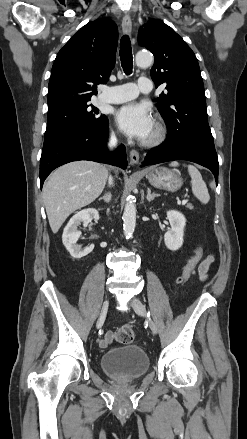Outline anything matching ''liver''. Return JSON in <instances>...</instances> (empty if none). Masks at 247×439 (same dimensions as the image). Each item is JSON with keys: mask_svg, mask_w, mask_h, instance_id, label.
Wrapping results in <instances>:
<instances>
[{"mask_svg": "<svg viewBox=\"0 0 247 439\" xmlns=\"http://www.w3.org/2000/svg\"><path fill=\"white\" fill-rule=\"evenodd\" d=\"M107 177L106 166L93 161H74L50 175L42 197L53 233L58 232L71 213L100 196Z\"/></svg>", "mask_w": 247, "mask_h": 439, "instance_id": "obj_1", "label": "liver"}]
</instances>
